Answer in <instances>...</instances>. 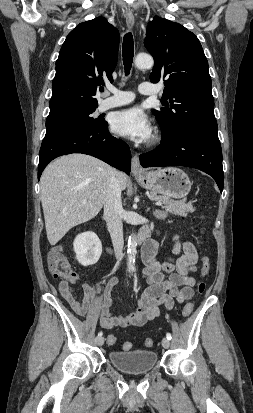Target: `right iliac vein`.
Returning a JSON list of instances; mask_svg holds the SVG:
<instances>
[{"label":"right iliac vein","instance_id":"1","mask_svg":"<svg viewBox=\"0 0 253 413\" xmlns=\"http://www.w3.org/2000/svg\"><path fill=\"white\" fill-rule=\"evenodd\" d=\"M95 342H96V344H97L98 346H102V345L104 344V338H103L102 336H98V337L95 339Z\"/></svg>","mask_w":253,"mask_h":413}]
</instances>
